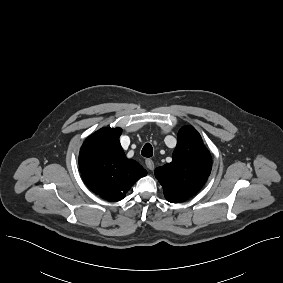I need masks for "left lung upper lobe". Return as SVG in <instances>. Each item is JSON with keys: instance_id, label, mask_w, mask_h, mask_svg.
<instances>
[{"instance_id": "obj_1", "label": "left lung upper lobe", "mask_w": 283, "mask_h": 283, "mask_svg": "<svg viewBox=\"0 0 283 283\" xmlns=\"http://www.w3.org/2000/svg\"><path fill=\"white\" fill-rule=\"evenodd\" d=\"M212 159L200 134L191 126L178 133L171 163L155 169V176L169 202H181L195 195L210 175Z\"/></svg>"}]
</instances>
